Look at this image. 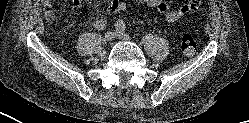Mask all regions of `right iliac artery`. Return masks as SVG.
Returning a JSON list of instances; mask_svg holds the SVG:
<instances>
[{
	"label": "right iliac artery",
	"instance_id": "1",
	"mask_svg": "<svg viewBox=\"0 0 249 123\" xmlns=\"http://www.w3.org/2000/svg\"><path fill=\"white\" fill-rule=\"evenodd\" d=\"M95 26L98 30H104L106 28V21L104 19H100L95 23Z\"/></svg>",
	"mask_w": 249,
	"mask_h": 123
}]
</instances>
